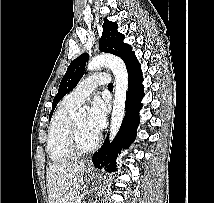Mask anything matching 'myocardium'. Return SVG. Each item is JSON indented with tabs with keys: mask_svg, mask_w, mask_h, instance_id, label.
Returning <instances> with one entry per match:
<instances>
[{
	"mask_svg": "<svg viewBox=\"0 0 214 203\" xmlns=\"http://www.w3.org/2000/svg\"><path fill=\"white\" fill-rule=\"evenodd\" d=\"M99 143L100 137L96 135L93 143L90 146H83L80 141L79 132L76 127V124L74 121L71 120L68 132V146L71 152H73L75 155H85L93 152L98 147Z\"/></svg>",
	"mask_w": 214,
	"mask_h": 203,
	"instance_id": "myocardium-1",
	"label": "myocardium"
}]
</instances>
